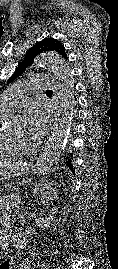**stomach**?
Returning <instances> with one entry per match:
<instances>
[{"label":"stomach","mask_w":118,"mask_h":269,"mask_svg":"<svg viewBox=\"0 0 118 269\" xmlns=\"http://www.w3.org/2000/svg\"><path fill=\"white\" fill-rule=\"evenodd\" d=\"M32 167V163L27 161L11 164L9 167L0 171V182L3 179H9L15 176H25L30 172Z\"/></svg>","instance_id":"1"}]
</instances>
